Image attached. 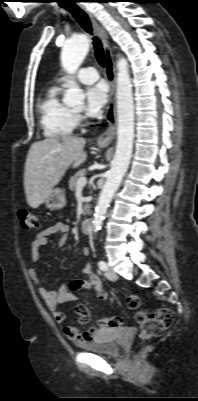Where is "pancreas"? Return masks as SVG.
<instances>
[{"label":"pancreas","instance_id":"pancreas-1","mask_svg":"<svg viewBox=\"0 0 198 401\" xmlns=\"http://www.w3.org/2000/svg\"><path fill=\"white\" fill-rule=\"evenodd\" d=\"M85 175H86V171L82 169V170L78 171L74 176H72L69 179V183H68L69 189L71 191H74L76 189L79 178L84 177ZM89 213H90L89 206H88V204H86L84 214H89Z\"/></svg>","mask_w":198,"mask_h":401}]
</instances>
